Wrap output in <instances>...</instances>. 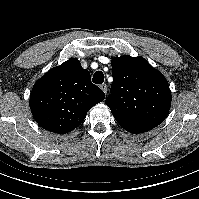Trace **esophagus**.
<instances>
[{"mask_svg": "<svg viewBox=\"0 0 199 199\" xmlns=\"http://www.w3.org/2000/svg\"><path fill=\"white\" fill-rule=\"evenodd\" d=\"M100 88L104 91V93L107 92V85L105 83L101 84Z\"/></svg>", "mask_w": 199, "mask_h": 199, "instance_id": "34e87169", "label": "esophagus"}]
</instances>
